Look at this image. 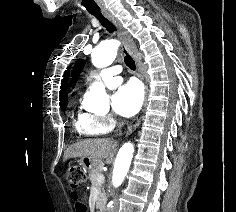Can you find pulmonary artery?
I'll return each instance as SVG.
<instances>
[{
  "instance_id": "1",
  "label": "pulmonary artery",
  "mask_w": 236,
  "mask_h": 212,
  "mask_svg": "<svg viewBox=\"0 0 236 212\" xmlns=\"http://www.w3.org/2000/svg\"><path fill=\"white\" fill-rule=\"evenodd\" d=\"M120 72L121 68L119 66L104 68L99 72L95 80L102 81L108 88H115L122 81Z\"/></svg>"
}]
</instances>
